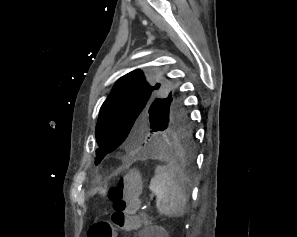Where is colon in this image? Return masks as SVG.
I'll return each mask as SVG.
<instances>
[{"label":"colon","instance_id":"1","mask_svg":"<svg viewBox=\"0 0 297 237\" xmlns=\"http://www.w3.org/2000/svg\"><path fill=\"white\" fill-rule=\"evenodd\" d=\"M139 192L140 178L134 172L126 174L111 186L107 191L113 208L111 218L92 224L88 237H113L116 232H130L139 228L142 223L137 214Z\"/></svg>","mask_w":297,"mask_h":237}]
</instances>
